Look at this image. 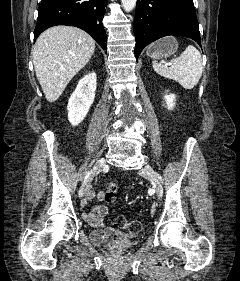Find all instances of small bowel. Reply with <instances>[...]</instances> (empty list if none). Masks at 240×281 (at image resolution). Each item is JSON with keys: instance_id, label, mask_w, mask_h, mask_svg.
Returning a JSON list of instances; mask_svg holds the SVG:
<instances>
[{"instance_id": "1", "label": "small bowel", "mask_w": 240, "mask_h": 281, "mask_svg": "<svg viewBox=\"0 0 240 281\" xmlns=\"http://www.w3.org/2000/svg\"><path fill=\"white\" fill-rule=\"evenodd\" d=\"M95 198L102 199L103 192L90 190L86 198L81 202V207L84 209L83 219L93 227H102L104 226V217L108 213V207L106 205H96L87 209L90 201Z\"/></svg>"}]
</instances>
